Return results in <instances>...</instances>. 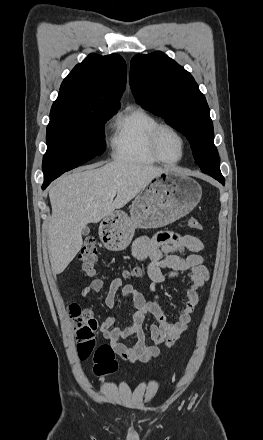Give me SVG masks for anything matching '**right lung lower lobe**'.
I'll list each match as a JSON object with an SVG mask.
<instances>
[{"mask_svg": "<svg viewBox=\"0 0 263 440\" xmlns=\"http://www.w3.org/2000/svg\"><path fill=\"white\" fill-rule=\"evenodd\" d=\"M54 179L50 178V179H44V183L42 185V189H45Z\"/></svg>", "mask_w": 263, "mask_h": 440, "instance_id": "right-lung-lower-lobe-1", "label": "right lung lower lobe"}]
</instances>
